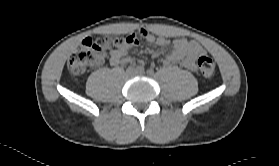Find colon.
<instances>
[{"label": "colon", "instance_id": "1", "mask_svg": "<svg viewBox=\"0 0 279 166\" xmlns=\"http://www.w3.org/2000/svg\"><path fill=\"white\" fill-rule=\"evenodd\" d=\"M134 36L86 38L81 46L70 56L68 68L73 75L80 76L89 69L109 58L133 42ZM198 68L204 76H211L216 69L215 61L208 55H201L197 60Z\"/></svg>", "mask_w": 279, "mask_h": 166}]
</instances>
